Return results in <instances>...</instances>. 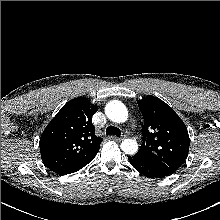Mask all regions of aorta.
Returning a JSON list of instances; mask_svg holds the SVG:
<instances>
[{
  "label": "aorta",
  "instance_id": "762f6f07",
  "mask_svg": "<svg viewBox=\"0 0 220 220\" xmlns=\"http://www.w3.org/2000/svg\"><path fill=\"white\" fill-rule=\"evenodd\" d=\"M107 117L117 123H123L128 119L126 106L118 100L109 102L105 107ZM121 149L125 154L134 155L138 151V143L133 139H125L121 143Z\"/></svg>",
  "mask_w": 220,
  "mask_h": 220
}]
</instances>
